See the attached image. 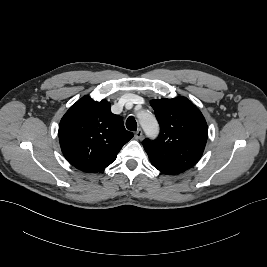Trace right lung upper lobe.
Masks as SVG:
<instances>
[{
    "label": "right lung upper lobe",
    "instance_id": "obj_1",
    "mask_svg": "<svg viewBox=\"0 0 267 267\" xmlns=\"http://www.w3.org/2000/svg\"><path fill=\"white\" fill-rule=\"evenodd\" d=\"M133 137L123 119L111 112V104L89 96L78 100L62 117L59 141L67 161L84 172H99L117 157Z\"/></svg>",
    "mask_w": 267,
    "mask_h": 267
}]
</instances>
